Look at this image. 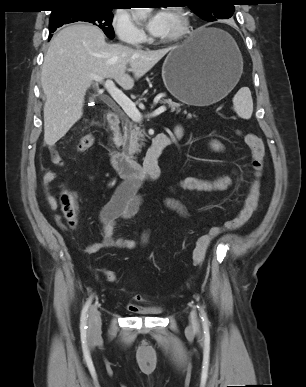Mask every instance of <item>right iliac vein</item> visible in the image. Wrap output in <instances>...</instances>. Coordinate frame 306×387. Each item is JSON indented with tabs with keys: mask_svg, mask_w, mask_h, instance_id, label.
Returning a JSON list of instances; mask_svg holds the SVG:
<instances>
[{
	"mask_svg": "<svg viewBox=\"0 0 306 387\" xmlns=\"http://www.w3.org/2000/svg\"><path fill=\"white\" fill-rule=\"evenodd\" d=\"M100 329L101 317L97 308L94 306L89 312V333L91 336L96 337L99 334Z\"/></svg>",
	"mask_w": 306,
	"mask_h": 387,
	"instance_id": "63e3f726",
	"label": "right iliac vein"
}]
</instances>
